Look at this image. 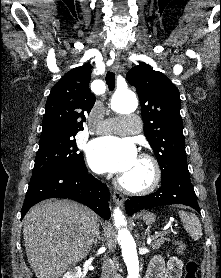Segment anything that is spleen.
<instances>
[{
  "label": "spleen",
  "mask_w": 221,
  "mask_h": 278,
  "mask_svg": "<svg viewBox=\"0 0 221 278\" xmlns=\"http://www.w3.org/2000/svg\"><path fill=\"white\" fill-rule=\"evenodd\" d=\"M179 216L184 228L188 231L194 241H198L202 237L201 223L198 217L193 213L179 211Z\"/></svg>",
  "instance_id": "1"
}]
</instances>
